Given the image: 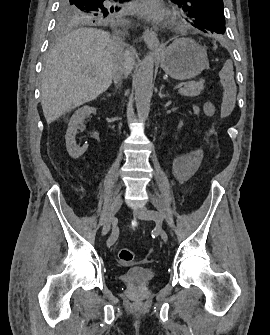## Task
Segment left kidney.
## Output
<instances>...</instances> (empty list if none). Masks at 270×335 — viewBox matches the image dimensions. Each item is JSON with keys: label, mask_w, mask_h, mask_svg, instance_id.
<instances>
[{"label": "left kidney", "mask_w": 270, "mask_h": 335, "mask_svg": "<svg viewBox=\"0 0 270 335\" xmlns=\"http://www.w3.org/2000/svg\"><path fill=\"white\" fill-rule=\"evenodd\" d=\"M194 114H199L200 110L198 106H193Z\"/></svg>", "instance_id": "1"}]
</instances>
